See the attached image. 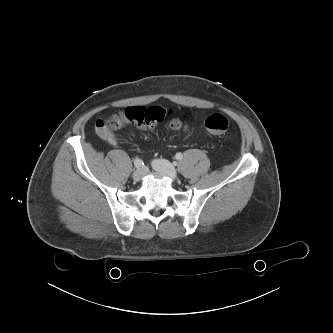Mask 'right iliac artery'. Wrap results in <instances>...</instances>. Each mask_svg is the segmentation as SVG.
<instances>
[{"mask_svg":"<svg viewBox=\"0 0 333 333\" xmlns=\"http://www.w3.org/2000/svg\"><path fill=\"white\" fill-rule=\"evenodd\" d=\"M134 165L136 168H140L143 165V162L139 158H136L134 161Z\"/></svg>","mask_w":333,"mask_h":333,"instance_id":"1","label":"right iliac artery"}]
</instances>
